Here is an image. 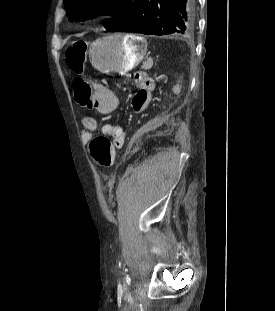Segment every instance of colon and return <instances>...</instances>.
Wrapping results in <instances>:
<instances>
[{
    "label": "colon",
    "mask_w": 275,
    "mask_h": 311,
    "mask_svg": "<svg viewBox=\"0 0 275 311\" xmlns=\"http://www.w3.org/2000/svg\"><path fill=\"white\" fill-rule=\"evenodd\" d=\"M86 43L78 41L70 45L66 52V62L70 69L76 74L74 90L76 101L85 107L92 104V87L83 78V64L85 61ZM115 143L107 136L93 138L88 146V151L93 162L99 167L109 168L114 163Z\"/></svg>",
    "instance_id": "1"
}]
</instances>
